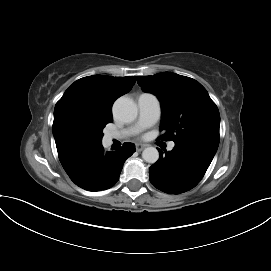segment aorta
<instances>
[{"label":"aorta","mask_w":271,"mask_h":271,"mask_svg":"<svg viewBox=\"0 0 271 271\" xmlns=\"http://www.w3.org/2000/svg\"><path fill=\"white\" fill-rule=\"evenodd\" d=\"M115 117L125 123L135 120L138 109L133 100L127 97H120L113 105ZM142 158L147 163H155L159 159V152L155 147H147L142 152Z\"/></svg>","instance_id":"aorta-1"}]
</instances>
